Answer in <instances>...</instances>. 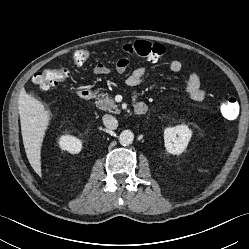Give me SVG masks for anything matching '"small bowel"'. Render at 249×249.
<instances>
[{
  "mask_svg": "<svg viewBox=\"0 0 249 249\" xmlns=\"http://www.w3.org/2000/svg\"><path fill=\"white\" fill-rule=\"evenodd\" d=\"M128 64L129 62L126 59L118 60L116 64L117 72L124 73L128 67ZM182 66L183 62L181 60H173L170 63V70L174 73H178L181 71ZM109 70L110 69L105 64L99 63L94 67L92 72L94 75H105L109 72ZM144 72L145 71L142 67L134 69L133 72L127 78V84L131 87H137L144 76ZM185 91L190 97V99L195 102L202 101L206 96V91L201 86L200 77L196 73L190 74Z\"/></svg>",
  "mask_w": 249,
  "mask_h": 249,
  "instance_id": "obj_1",
  "label": "small bowel"
}]
</instances>
